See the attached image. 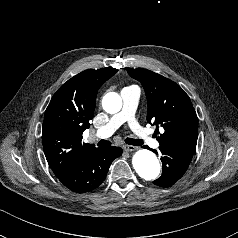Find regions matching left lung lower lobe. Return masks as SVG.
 I'll return each mask as SVG.
<instances>
[{"instance_id":"obj_1","label":"left lung lower lobe","mask_w":238,"mask_h":238,"mask_svg":"<svg viewBox=\"0 0 238 238\" xmlns=\"http://www.w3.org/2000/svg\"><path fill=\"white\" fill-rule=\"evenodd\" d=\"M159 149L163 172L153 183L161 187H170L184 175L194 153L164 146H160ZM154 152L158 154L157 151Z\"/></svg>"}]
</instances>
